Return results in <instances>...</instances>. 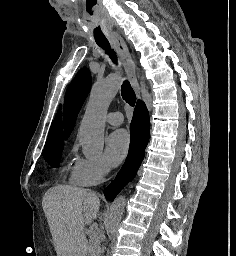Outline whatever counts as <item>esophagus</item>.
Masks as SVG:
<instances>
[{
  "mask_svg": "<svg viewBox=\"0 0 236 256\" xmlns=\"http://www.w3.org/2000/svg\"><path fill=\"white\" fill-rule=\"evenodd\" d=\"M110 40L113 43L122 65L127 73L130 83L134 87L138 99H141V94L139 90L138 80L136 76L135 63L133 62L127 44L119 33H113L110 35Z\"/></svg>",
  "mask_w": 236,
  "mask_h": 256,
  "instance_id": "34e87169",
  "label": "esophagus"
}]
</instances>
